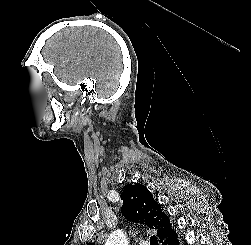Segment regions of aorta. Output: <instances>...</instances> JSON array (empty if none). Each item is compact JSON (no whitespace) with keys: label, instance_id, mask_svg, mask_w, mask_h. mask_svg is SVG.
<instances>
[{"label":"aorta","instance_id":"aorta-1","mask_svg":"<svg viewBox=\"0 0 251 245\" xmlns=\"http://www.w3.org/2000/svg\"><path fill=\"white\" fill-rule=\"evenodd\" d=\"M105 245H128V242L124 233L120 230H117L110 234Z\"/></svg>","mask_w":251,"mask_h":245}]
</instances>
